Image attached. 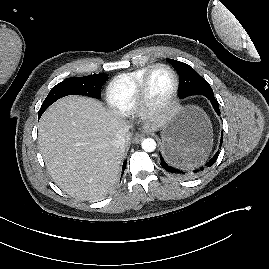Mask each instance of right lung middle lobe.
Returning a JSON list of instances; mask_svg holds the SVG:
<instances>
[{"label": "right lung middle lobe", "instance_id": "1", "mask_svg": "<svg viewBox=\"0 0 269 269\" xmlns=\"http://www.w3.org/2000/svg\"><path fill=\"white\" fill-rule=\"evenodd\" d=\"M108 80L107 74H94L84 77H71L55 85L44 100L38 117L56 100L67 95H85L100 98L102 85Z\"/></svg>", "mask_w": 269, "mask_h": 269}]
</instances>
